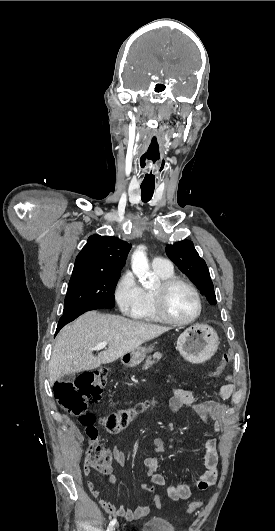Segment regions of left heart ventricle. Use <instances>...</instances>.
Listing matches in <instances>:
<instances>
[{
  "mask_svg": "<svg viewBox=\"0 0 275 531\" xmlns=\"http://www.w3.org/2000/svg\"><path fill=\"white\" fill-rule=\"evenodd\" d=\"M159 285L154 290L159 288ZM166 307L171 316L178 320L192 317L197 309V304L192 292L182 284L173 286L166 297Z\"/></svg>",
  "mask_w": 275,
  "mask_h": 531,
  "instance_id": "obj_1",
  "label": "left heart ventricle"
}]
</instances>
